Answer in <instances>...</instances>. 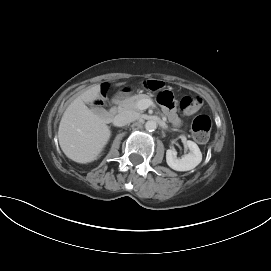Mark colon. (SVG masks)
<instances>
[{"label": "colon", "mask_w": 271, "mask_h": 271, "mask_svg": "<svg viewBox=\"0 0 271 271\" xmlns=\"http://www.w3.org/2000/svg\"><path fill=\"white\" fill-rule=\"evenodd\" d=\"M144 86L154 92H158V101L165 107L173 105V95L164 88L161 81L149 79L144 81ZM201 99L196 96L186 95L180 101V109L185 114H192L199 110ZM211 130V120L207 115H198L192 122V133L194 139L199 143H206Z\"/></svg>", "instance_id": "obj_1"}]
</instances>
